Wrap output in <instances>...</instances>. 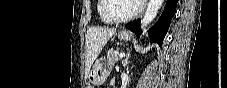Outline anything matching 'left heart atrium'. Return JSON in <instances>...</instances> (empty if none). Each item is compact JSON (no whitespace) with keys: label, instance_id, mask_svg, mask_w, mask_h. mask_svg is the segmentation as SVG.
Masks as SVG:
<instances>
[{"label":"left heart atrium","instance_id":"left-heart-atrium-1","mask_svg":"<svg viewBox=\"0 0 227 88\" xmlns=\"http://www.w3.org/2000/svg\"><path fill=\"white\" fill-rule=\"evenodd\" d=\"M137 2L140 3V4H143L145 1L144 0H138Z\"/></svg>","mask_w":227,"mask_h":88}]
</instances>
